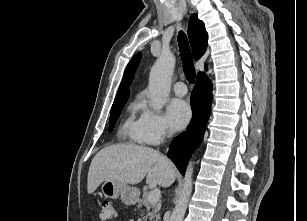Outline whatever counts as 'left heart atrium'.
Here are the masks:
<instances>
[{"instance_id":"1","label":"left heart atrium","mask_w":307,"mask_h":221,"mask_svg":"<svg viewBox=\"0 0 307 221\" xmlns=\"http://www.w3.org/2000/svg\"><path fill=\"white\" fill-rule=\"evenodd\" d=\"M191 109L188 103L182 99L172 100L167 107V117L174 130L184 129L191 120Z\"/></svg>"}]
</instances>
